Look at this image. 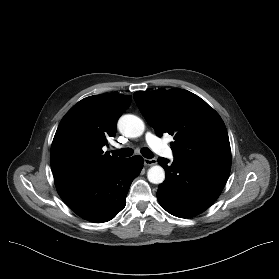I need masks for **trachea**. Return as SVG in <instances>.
I'll list each match as a JSON object with an SVG mask.
<instances>
[{
    "instance_id": "3493384b",
    "label": "trachea",
    "mask_w": 279,
    "mask_h": 279,
    "mask_svg": "<svg viewBox=\"0 0 279 279\" xmlns=\"http://www.w3.org/2000/svg\"><path fill=\"white\" fill-rule=\"evenodd\" d=\"M113 153L117 154L120 157H129L132 156L133 150L131 148H124L117 151H113ZM141 154L147 159H151L153 157V153L149 148H142Z\"/></svg>"
}]
</instances>
